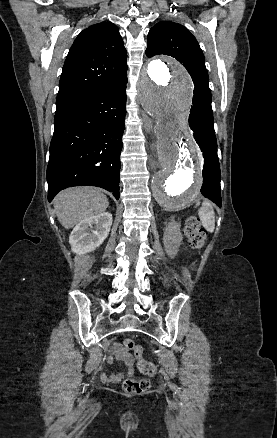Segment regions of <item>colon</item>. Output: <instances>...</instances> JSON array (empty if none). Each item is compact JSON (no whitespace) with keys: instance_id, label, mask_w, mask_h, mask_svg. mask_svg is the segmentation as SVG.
<instances>
[{"instance_id":"5ec220e1","label":"colon","mask_w":277,"mask_h":438,"mask_svg":"<svg viewBox=\"0 0 277 438\" xmlns=\"http://www.w3.org/2000/svg\"><path fill=\"white\" fill-rule=\"evenodd\" d=\"M185 234L189 239L190 245L194 248H200L206 242V231L201 223L195 218H190L186 221ZM124 346L133 350L135 357L138 359V367L142 374L149 377L157 375V367L151 361L143 358L142 350L135 347L132 340L125 339ZM120 386L121 389L132 398H141L143 396V391L155 387V382L153 380L145 379L121 380Z\"/></svg>"}]
</instances>
